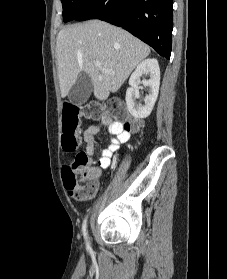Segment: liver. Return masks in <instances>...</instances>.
I'll use <instances>...</instances> for the list:
<instances>
[{
	"mask_svg": "<svg viewBox=\"0 0 227 279\" xmlns=\"http://www.w3.org/2000/svg\"><path fill=\"white\" fill-rule=\"evenodd\" d=\"M150 48L120 27L100 20L67 26L56 41L61 96L69 94L78 76L85 72L92 81L96 99L104 101L117 92ZM100 61L105 72L94 65Z\"/></svg>",
	"mask_w": 227,
	"mask_h": 279,
	"instance_id": "6515ba94",
	"label": "liver"
}]
</instances>
